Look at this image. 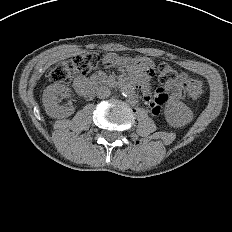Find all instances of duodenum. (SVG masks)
<instances>
[{
    "label": "duodenum",
    "instance_id": "duodenum-1",
    "mask_svg": "<svg viewBox=\"0 0 232 232\" xmlns=\"http://www.w3.org/2000/svg\"><path fill=\"white\" fill-rule=\"evenodd\" d=\"M129 84L141 87L142 90L146 88V84L135 78H131L128 81ZM77 91L85 98H91L94 95V86L92 83L82 81L76 86Z\"/></svg>",
    "mask_w": 232,
    "mask_h": 232
}]
</instances>
